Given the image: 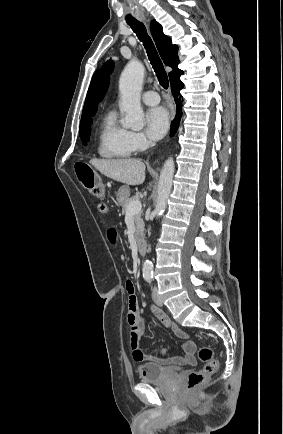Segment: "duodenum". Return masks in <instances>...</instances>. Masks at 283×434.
Returning a JSON list of instances; mask_svg holds the SVG:
<instances>
[{
	"instance_id": "410a0bca",
	"label": "duodenum",
	"mask_w": 283,
	"mask_h": 434,
	"mask_svg": "<svg viewBox=\"0 0 283 434\" xmlns=\"http://www.w3.org/2000/svg\"><path fill=\"white\" fill-rule=\"evenodd\" d=\"M137 249L141 255H145L147 250L146 241L143 238L137 240Z\"/></svg>"
}]
</instances>
